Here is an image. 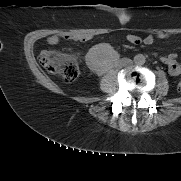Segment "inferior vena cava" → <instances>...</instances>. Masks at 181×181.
Wrapping results in <instances>:
<instances>
[{"label":"inferior vena cava","instance_id":"602c4592","mask_svg":"<svg viewBox=\"0 0 181 181\" xmlns=\"http://www.w3.org/2000/svg\"><path fill=\"white\" fill-rule=\"evenodd\" d=\"M131 62H132L131 59H128V58H123V59L121 60L122 65H128V64H130Z\"/></svg>","mask_w":181,"mask_h":181}]
</instances>
